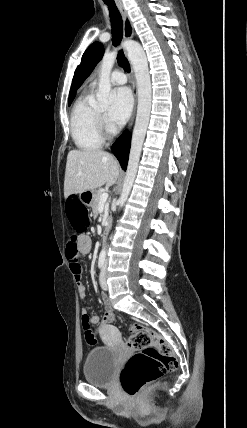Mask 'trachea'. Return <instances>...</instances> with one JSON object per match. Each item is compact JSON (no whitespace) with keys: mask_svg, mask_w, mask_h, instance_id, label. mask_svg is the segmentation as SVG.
<instances>
[{"mask_svg":"<svg viewBox=\"0 0 247 428\" xmlns=\"http://www.w3.org/2000/svg\"><path fill=\"white\" fill-rule=\"evenodd\" d=\"M105 1V0H104ZM109 10V16L112 27V42L114 46H118L123 37V21L121 14L116 6V4L105 2ZM118 64L126 70V72H130L129 63L123 53L122 50L119 51L117 56Z\"/></svg>","mask_w":247,"mask_h":428,"instance_id":"3493384b","label":"trachea"}]
</instances>
